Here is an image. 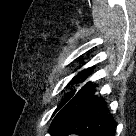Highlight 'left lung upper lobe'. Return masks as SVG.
Listing matches in <instances>:
<instances>
[{
    "instance_id": "5c2ea615",
    "label": "left lung upper lobe",
    "mask_w": 136,
    "mask_h": 136,
    "mask_svg": "<svg viewBox=\"0 0 136 136\" xmlns=\"http://www.w3.org/2000/svg\"><path fill=\"white\" fill-rule=\"evenodd\" d=\"M91 73V68H88L86 70H83L81 73H79L76 77H74L71 82L68 84L70 85L71 83L74 82H78L79 79H81V81H84L85 79H87L86 74ZM76 94V90H73L69 93H67V95L65 96V98L62 100V102L58 105L57 109L54 111L52 117L58 112L60 111L71 99L72 97Z\"/></svg>"
}]
</instances>
